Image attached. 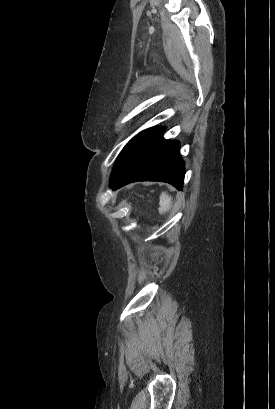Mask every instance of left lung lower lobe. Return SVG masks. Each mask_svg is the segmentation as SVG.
I'll list each match as a JSON object with an SVG mask.
<instances>
[{
    "label": "left lung lower lobe",
    "instance_id": "obj_1",
    "mask_svg": "<svg viewBox=\"0 0 275 409\" xmlns=\"http://www.w3.org/2000/svg\"><path fill=\"white\" fill-rule=\"evenodd\" d=\"M162 127L150 128L130 150L123 170L110 185L116 190L136 181H162L181 190L185 168L176 140H165Z\"/></svg>",
    "mask_w": 275,
    "mask_h": 409
}]
</instances>
